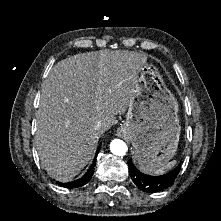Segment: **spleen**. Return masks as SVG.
Listing matches in <instances>:
<instances>
[{
	"mask_svg": "<svg viewBox=\"0 0 221 221\" xmlns=\"http://www.w3.org/2000/svg\"><path fill=\"white\" fill-rule=\"evenodd\" d=\"M176 164V161L173 160V161H170L164 165H162L161 167H159L158 169L152 171L153 174H163L165 173L166 171H168L169 169L173 168Z\"/></svg>",
	"mask_w": 221,
	"mask_h": 221,
	"instance_id": "obj_1",
	"label": "spleen"
}]
</instances>
